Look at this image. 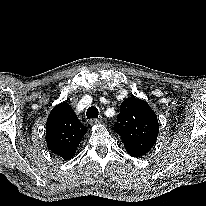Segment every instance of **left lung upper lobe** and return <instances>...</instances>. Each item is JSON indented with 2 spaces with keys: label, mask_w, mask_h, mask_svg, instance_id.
Listing matches in <instances>:
<instances>
[{
  "label": "left lung upper lobe",
  "mask_w": 206,
  "mask_h": 206,
  "mask_svg": "<svg viewBox=\"0 0 206 206\" xmlns=\"http://www.w3.org/2000/svg\"><path fill=\"white\" fill-rule=\"evenodd\" d=\"M114 131L121 137L128 153L146 154L155 144L159 123L147 102L128 98L121 103Z\"/></svg>",
  "instance_id": "1"
}]
</instances>
